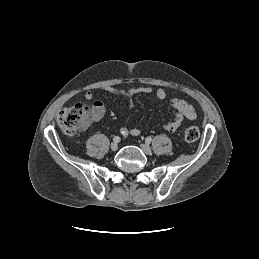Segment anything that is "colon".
Returning a JSON list of instances; mask_svg holds the SVG:
<instances>
[{
	"label": "colon",
	"mask_w": 259,
	"mask_h": 259,
	"mask_svg": "<svg viewBox=\"0 0 259 259\" xmlns=\"http://www.w3.org/2000/svg\"><path fill=\"white\" fill-rule=\"evenodd\" d=\"M94 118V107L85 104H76L74 106L62 109L57 117V122L65 135L73 136L79 131L85 129ZM184 139L187 142L196 141L200 132L194 125H188L183 132Z\"/></svg>",
	"instance_id": "1"
}]
</instances>
